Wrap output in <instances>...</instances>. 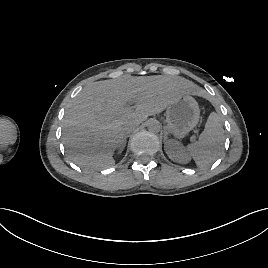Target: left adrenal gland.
<instances>
[{
  "label": "left adrenal gland",
  "mask_w": 268,
  "mask_h": 268,
  "mask_svg": "<svg viewBox=\"0 0 268 268\" xmlns=\"http://www.w3.org/2000/svg\"><path fill=\"white\" fill-rule=\"evenodd\" d=\"M167 135H168V132H167V130L165 129V131H164V141L167 140Z\"/></svg>",
  "instance_id": "left-adrenal-gland-1"
}]
</instances>
